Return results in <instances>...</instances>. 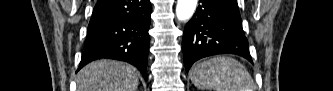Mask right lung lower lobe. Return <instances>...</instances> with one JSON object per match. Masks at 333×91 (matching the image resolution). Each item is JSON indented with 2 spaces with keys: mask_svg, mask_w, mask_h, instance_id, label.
I'll use <instances>...</instances> for the list:
<instances>
[{
  "mask_svg": "<svg viewBox=\"0 0 333 91\" xmlns=\"http://www.w3.org/2000/svg\"><path fill=\"white\" fill-rule=\"evenodd\" d=\"M150 16V0H99L78 70L97 59H117L135 65L147 80Z\"/></svg>",
  "mask_w": 333,
  "mask_h": 91,
  "instance_id": "1",
  "label": "right lung lower lobe"
}]
</instances>
